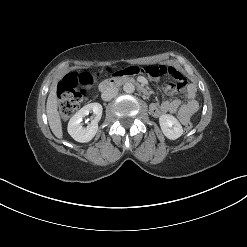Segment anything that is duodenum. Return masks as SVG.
I'll list each match as a JSON object with an SVG mask.
<instances>
[{
    "mask_svg": "<svg viewBox=\"0 0 247 247\" xmlns=\"http://www.w3.org/2000/svg\"><path fill=\"white\" fill-rule=\"evenodd\" d=\"M123 84H134L140 93H142L143 95L148 94V90L146 89L145 86H143L141 83H138L135 79L129 78V77L127 78L126 77H117V78L114 77V78L105 80L100 84L99 90L101 93H105L106 91L114 87L123 85Z\"/></svg>",
    "mask_w": 247,
    "mask_h": 247,
    "instance_id": "obj_1",
    "label": "duodenum"
}]
</instances>
